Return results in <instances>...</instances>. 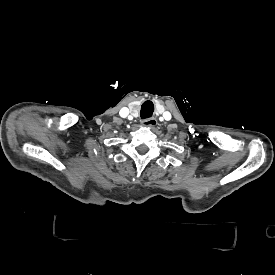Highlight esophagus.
<instances>
[{"mask_svg":"<svg viewBox=\"0 0 275 275\" xmlns=\"http://www.w3.org/2000/svg\"><path fill=\"white\" fill-rule=\"evenodd\" d=\"M141 124L146 127H155L158 124V122H157L156 118L149 117V118L143 119L141 121Z\"/></svg>","mask_w":275,"mask_h":275,"instance_id":"34e87169","label":"esophagus"}]
</instances>
